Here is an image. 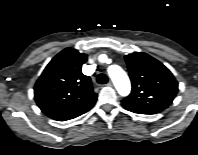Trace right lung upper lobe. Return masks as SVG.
<instances>
[{
	"label": "right lung upper lobe",
	"instance_id": "1",
	"mask_svg": "<svg viewBox=\"0 0 198 155\" xmlns=\"http://www.w3.org/2000/svg\"><path fill=\"white\" fill-rule=\"evenodd\" d=\"M87 55L73 48L57 54L46 66L34 87V98L48 117L65 121L90 110L96 100L89 76L82 73Z\"/></svg>",
	"mask_w": 198,
	"mask_h": 155
}]
</instances>
